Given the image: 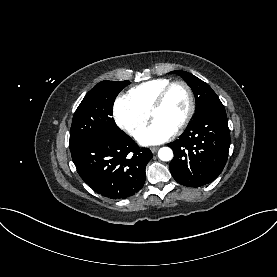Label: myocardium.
<instances>
[{
  "instance_id": "obj_1",
  "label": "myocardium",
  "mask_w": 277,
  "mask_h": 277,
  "mask_svg": "<svg viewBox=\"0 0 277 277\" xmlns=\"http://www.w3.org/2000/svg\"><path fill=\"white\" fill-rule=\"evenodd\" d=\"M175 86L183 87L186 90V92L188 94V99H189V106H188V111L186 113V116L184 117L182 122L176 128V131L179 132L187 127V125L190 123V121L194 115V112H195V96H194L192 88L185 81L175 80V81L170 82L168 85H166L161 90V92L158 94L155 101L153 102V104L149 110V115L151 116L152 114H154L156 111H158L163 106L168 94L170 93L172 88H174Z\"/></svg>"
}]
</instances>
